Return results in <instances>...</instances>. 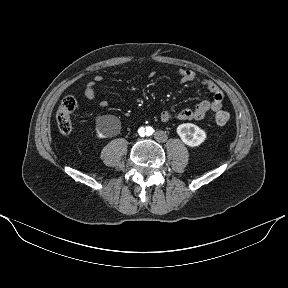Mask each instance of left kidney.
Returning a JSON list of instances; mask_svg holds the SVG:
<instances>
[{
	"label": "left kidney",
	"mask_w": 288,
	"mask_h": 288,
	"mask_svg": "<svg viewBox=\"0 0 288 288\" xmlns=\"http://www.w3.org/2000/svg\"><path fill=\"white\" fill-rule=\"evenodd\" d=\"M177 134L184 144L190 147L199 146L206 139V132L192 123H183L177 127Z\"/></svg>",
	"instance_id": "5707ae66"
}]
</instances>
